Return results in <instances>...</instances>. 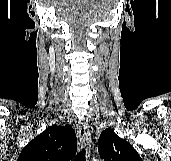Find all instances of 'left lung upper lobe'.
<instances>
[{"instance_id":"left-lung-upper-lobe-1","label":"left lung upper lobe","mask_w":171,"mask_h":161,"mask_svg":"<svg viewBox=\"0 0 171 161\" xmlns=\"http://www.w3.org/2000/svg\"><path fill=\"white\" fill-rule=\"evenodd\" d=\"M98 149L104 161H142L130 143L121 139L110 128L100 134Z\"/></svg>"}]
</instances>
